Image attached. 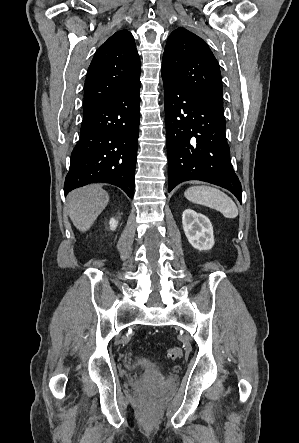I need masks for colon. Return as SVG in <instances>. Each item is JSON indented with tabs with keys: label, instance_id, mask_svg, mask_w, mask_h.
Returning a JSON list of instances; mask_svg holds the SVG:
<instances>
[{
	"label": "colon",
	"instance_id": "colon-1",
	"mask_svg": "<svg viewBox=\"0 0 299 443\" xmlns=\"http://www.w3.org/2000/svg\"><path fill=\"white\" fill-rule=\"evenodd\" d=\"M182 356V350L180 347H171L167 350L166 358L170 360L179 359Z\"/></svg>",
	"mask_w": 299,
	"mask_h": 443
}]
</instances>
